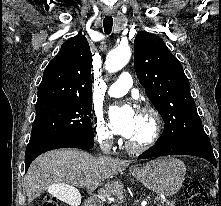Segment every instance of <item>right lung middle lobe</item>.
I'll use <instances>...</instances> for the list:
<instances>
[{"mask_svg":"<svg viewBox=\"0 0 221 206\" xmlns=\"http://www.w3.org/2000/svg\"><path fill=\"white\" fill-rule=\"evenodd\" d=\"M91 103L49 104L36 107L29 142L60 137H94Z\"/></svg>","mask_w":221,"mask_h":206,"instance_id":"1","label":"right lung middle lobe"}]
</instances>
